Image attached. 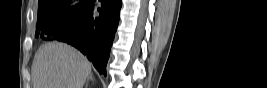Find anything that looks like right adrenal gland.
Returning a JSON list of instances; mask_svg holds the SVG:
<instances>
[{
    "label": "right adrenal gland",
    "mask_w": 267,
    "mask_h": 88,
    "mask_svg": "<svg viewBox=\"0 0 267 88\" xmlns=\"http://www.w3.org/2000/svg\"><path fill=\"white\" fill-rule=\"evenodd\" d=\"M94 78H93V74L92 73H90V75L88 76V78H87V81H86V86H85V88H87V83H88V81L89 80H93Z\"/></svg>",
    "instance_id": "right-adrenal-gland-1"
}]
</instances>
